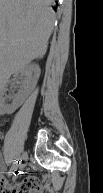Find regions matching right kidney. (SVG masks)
Instances as JSON below:
<instances>
[{
	"mask_svg": "<svg viewBox=\"0 0 103 193\" xmlns=\"http://www.w3.org/2000/svg\"><path fill=\"white\" fill-rule=\"evenodd\" d=\"M20 72L26 77L25 80L21 83V87L24 89V91L19 95L18 99L12 103L4 104V98L3 95L5 91L7 90L6 84H2L0 95L2 99L1 104V110L3 114H12L18 107H20L27 96L32 92L34 89L37 79L40 75V68L38 65H27L26 67L22 68Z\"/></svg>",
	"mask_w": 103,
	"mask_h": 193,
	"instance_id": "right-kidney-1",
	"label": "right kidney"
}]
</instances>
